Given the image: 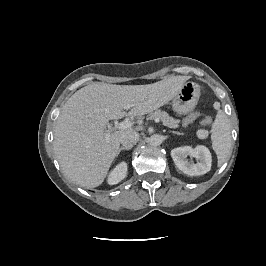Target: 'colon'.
<instances>
[{"mask_svg": "<svg viewBox=\"0 0 266 266\" xmlns=\"http://www.w3.org/2000/svg\"><path fill=\"white\" fill-rule=\"evenodd\" d=\"M198 116H199V114L196 113V112L191 113L188 116H186L185 119H184L185 125H190L191 123H193L195 121V119L198 118ZM210 122H211V119L209 117H205V118L202 119V124L204 126L210 124Z\"/></svg>", "mask_w": 266, "mask_h": 266, "instance_id": "colon-1", "label": "colon"}]
</instances>
